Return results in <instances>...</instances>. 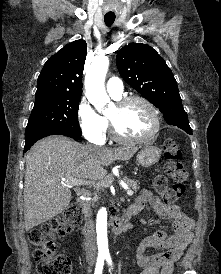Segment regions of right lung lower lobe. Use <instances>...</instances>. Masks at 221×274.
<instances>
[{
  "instance_id": "obj_1",
  "label": "right lung lower lobe",
  "mask_w": 221,
  "mask_h": 274,
  "mask_svg": "<svg viewBox=\"0 0 221 274\" xmlns=\"http://www.w3.org/2000/svg\"><path fill=\"white\" fill-rule=\"evenodd\" d=\"M50 135H64V136L71 137L73 139H80L81 138V135H77V134H74V133H71V132H66V131H61V130L47 131V132H43V133L37 134L33 137L25 139L26 143H25V147H24V149H25L24 152L29 150L31 148V146L36 141H38L39 139H41L43 137H46V136H50Z\"/></svg>"
}]
</instances>
